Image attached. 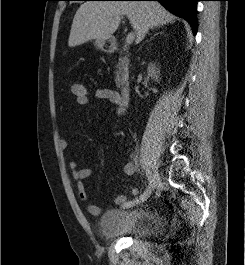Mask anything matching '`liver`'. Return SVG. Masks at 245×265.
Wrapping results in <instances>:
<instances>
[{"mask_svg":"<svg viewBox=\"0 0 245 265\" xmlns=\"http://www.w3.org/2000/svg\"><path fill=\"white\" fill-rule=\"evenodd\" d=\"M126 15L140 43L148 30L173 23L176 17L158 2L87 1L77 10L68 40L75 47L89 40H108Z\"/></svg>","mask_w":245,"mask_h":265,"instance_id":"obj_1","label":"liver"}]
</instances>
